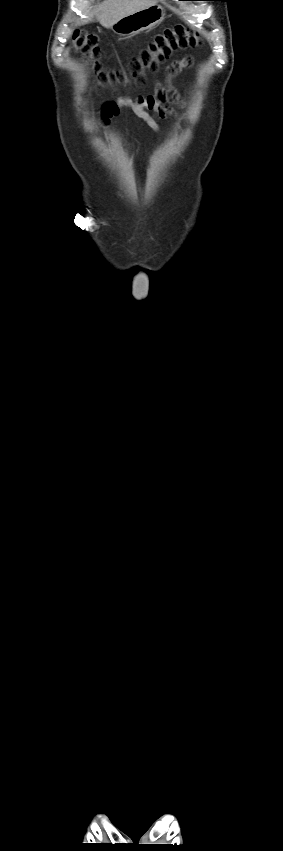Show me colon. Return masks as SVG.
Returning <instances> with one entry per match:
<instances>
[{
    "mask_svg": "<svg viewBox=\"0 0 283 851\" xmlns=\"http://www.w3.org/2000/svg\"><path fill=\"white\" fill-rule=\"evenodd\" d=\"M202 44L199 35L184 26L178 25L165 29L157 34L140 54L133 58L130 64V73L115 71L107 73L102 69L100 63L101 51L98 38L94 34L78 31L72 38V49L81 52L85 60L91 65L92 73L97 77L99 85L109 81L123 79L125 82L133 79L137 82L143 81V70L155 71L159 64L167 60L176 49L198 47Z\"/></svg>",
    "mask_w": 283,
    "mask_h": 851,
    "instance_id": "colon-1",
    "label": "colon"
}]
</instances>
